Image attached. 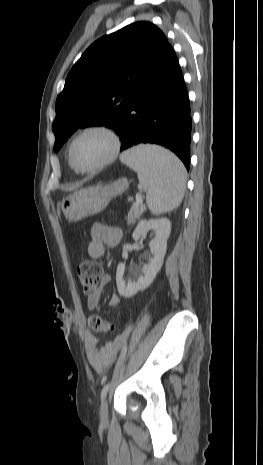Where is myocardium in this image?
Instances as JSON below:
<instances>
[{"label":"myocardium","mask_w":263,"mask_h":465,"mask_svg":"<svg viewBox=\"0 0 263 465\" xmlns=\"http://www.w3.org/2000/svg\"><path fill=\"white\" fill-rule=\"evenodd\" d=\"M90 132H100V133H103L105 134L111 141L112 143V148H111V152L110 154L108 155V157L106 159H104L102 162H100L97 166L93 167V168H90V169H82L80 167H78L74 160H73V155H72V150H73V146L75 144V142L83 135L87 134V133H90ZM120 149H121V139H120V136L118 135V133L111 127L107 126V125H102V124H95V125H90V126H87V127H84L83 129L79 130L75 135L74 137L71 139L69 145H68V161H69V164L71 166V168L77 172V173H80V174H93V173H97L99 171H101L102 169H104L105 167H107L108 165H110L111 163H113L119 153H120Z\"/></svg>","instance_id":"f54148a6"}]
</instances>
